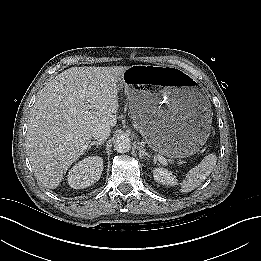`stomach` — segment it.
Listing matches in <instances>:
<instances>
[{
    "label": "stomach",
    "mask_w": 261,
    "mask_h": 261,
    "mask_svg": "<svg viewBox=\"0 0 261 261\" xmlns=\"http://www.w3.org/2000/svg\"><path fill=\"white\" fill-rule=\"evenodd\" d=\"M147 74L168 76L156 90L137 89ZM121 87L146 142L167 157L185 158L205 144L211 111L196 82L179 70L151 65L130 66L122 75Z\"/></svg>",
    "instance_id": "obj_1"
}]
</instances>
